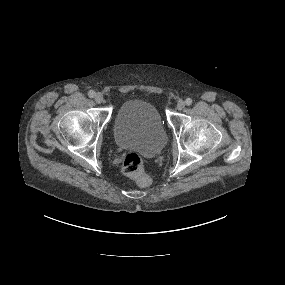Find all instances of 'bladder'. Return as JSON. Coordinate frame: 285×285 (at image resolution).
<instances>
[{"mask_svg":"<svg viewBox=\"0 0 285 285\" xmlns=\"http://www.w3.org/2000/svg\"><path fill=\"white\" fill-rule=\"evenodd\" d=\"M114 138L119 147L146 156L156 155L167 143L158 110L143 100H129L120 106L114 123Z\"/></svg>","mask_w":285,"mask_h":285,"instance_id":"31cf9c89","label":"bladder"}]
</instances>
